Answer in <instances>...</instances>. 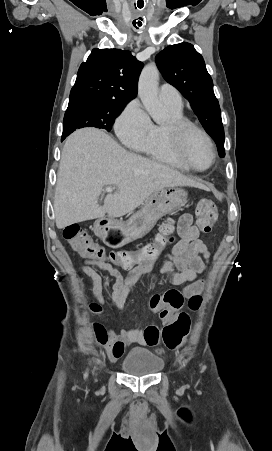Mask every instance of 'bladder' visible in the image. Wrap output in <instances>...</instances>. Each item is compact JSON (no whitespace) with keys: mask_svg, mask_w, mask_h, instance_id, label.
Returning a JSON list of instances; mask_svg holds the SVG:
<instances>
[{"mask_svg":"<svg viewBox=\"0 0 272 451\" xmlns=\"http://www.w3.org/2000/svg\"><path fill=\"white\" fill-rule=\"evenodd\" d=\"M164 366L163 359L144 347H133L122 361L125 375L140 376L157 374Z\"/></svg>","mask_w":272,"mask_h":451,"instance_id":"31cf9c89","label":"bladder"}]
</instances>
